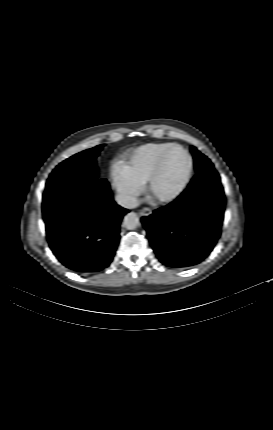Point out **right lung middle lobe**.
Returning <instances> with one entry per match:
<instances>
[{
    "mask_svg": "<svg viewBox=\"0 0 273 430\" xmlns=\"http://www.w3.org/2000/svg\"><path fill=\"white\" fill-rule=\"evenodd\" d=\"M103 146L98 145L85 150L60 163L49 176L43 201L56 197L69 189L99 181L95 159Z\"/></svg>",
    "mask_w": 273,
    "mask_h": 430,
    "instance_id": "1",
    "label": "right lung middle lobe"
}]
</instances>
